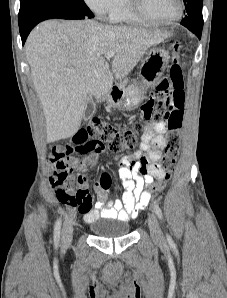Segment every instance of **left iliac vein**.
<instances>
[{
    "mask_svg": "<svg viewBox=\"0 0 227 298\" xmlns=\"http://www.w3.org/2000/svg\"><path fill=\"white\" fill-rule=\"evenodd\" d=\"M148 226L150 229L151 237L155 243H163L164 242V235L160 228L158 219L154 213H150L148 216Z\"/></svg>",
    "mask_w": 227,
    "mask_h": 298,
    "instance_id": "1",
    "label": "left iliac vein"
}]
</instances>
